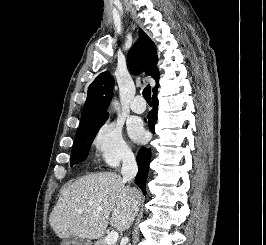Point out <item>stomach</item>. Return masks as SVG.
I'll return each mask as SVG.
<instances>
[{
	"label": "stomach",
	"mask_w": 266,
	"mask_h": 245,
	"mask_svg": "<svg viewBox=\"0 0 266 245\" xmlns=\"http://www.w3.org/2000/svg\"><path fill=\"white\" fill-rule=\"evenodd\" d=\"M75 245H91V241H84V239H79V237H77Z\"/></svg>",
	"instance_id": "1"
}]
</instances>
